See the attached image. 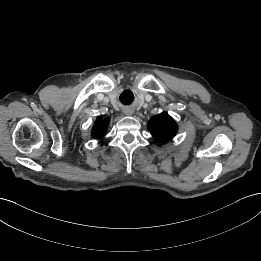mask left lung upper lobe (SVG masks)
<instances>
[{
	"mask_svg": "<svg viewBox=\"0 0 261 261\" xmlns=\"http://www.w3.org/2000/svg\"><path fill=\"white\" fill-rule=\"evenodd\" d=\"M148 129L158 142H167L177 133V124L171 116L163 112L148 121Z\"/></svg>",
	"mask_w": 261,
	"mask_h": 261,
	"instance_id": "obj_1",
	"label": "left lung upper lobe"
}]
</instances>
